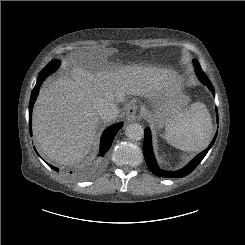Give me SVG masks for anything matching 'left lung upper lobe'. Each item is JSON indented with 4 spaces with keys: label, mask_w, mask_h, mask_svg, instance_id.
<instances>
[{
    "label": "left lung upper lobe",
    "mask_w": 245,
    "mask_h": 245,
    "mask_svg": "<svg viewBox=\"0 0 245 245\" xmlns=\"http://www.w3.org/2000/svg\"><path fill=\"white\" fill-rule=\"evenodd\" d=\"M193 62H194L196 74H197V76L199 77V79H202L203 77H207V76L205 75V73L202 71L201 66H200V64L198 63V61L194 60Z\"/></svg>",
    "instance_id": "obj_1"
}]
</instances>
